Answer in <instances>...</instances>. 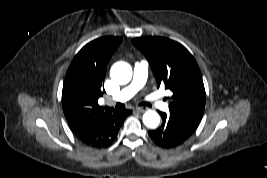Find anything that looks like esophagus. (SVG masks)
<instances>
[{"label": "esophagus", "mask_w": 267, "mask_h": 178, "mask_svg": "<svg viewBox=\"0 0 267 178\" xmlns=\"http://www.w3.org/2000/svg\"><path fill=\"white\" fill-rule=\"evenodd\" d=\"M147 110H148V108H146V107H137V108H136V111H138V112H140V113L145 112V111H147Z\"/></svg>", "instance_id": "34e87169"}]
</instances>
